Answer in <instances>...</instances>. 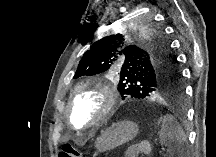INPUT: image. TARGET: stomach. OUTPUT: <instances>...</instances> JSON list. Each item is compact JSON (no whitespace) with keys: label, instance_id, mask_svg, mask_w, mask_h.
<instances>
[{"label":"stomach","instance_id":"stomach-1","mask_svg":"<svg viewBox=\"0 0 216 157\" xmlns=\"http://www.w3.org/2000/svg\"><path fill=\"white\" fill-rule=\"evenodd\" d=\"M138 134V125L131 121H121L106 128L97 138L96 148L100 152L113 150L132 140Z\"/></svg>","mask_w":216,"mask_h":157}]
</instances>
